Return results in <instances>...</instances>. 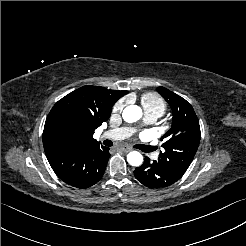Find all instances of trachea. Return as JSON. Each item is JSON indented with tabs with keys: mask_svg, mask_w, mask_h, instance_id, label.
<instances>
[{
	"mask_svg": "<svg viewBox=\"0 0 246 246\" xmlns=\"http://www.w3.org/2000/svg\"><path fill=\"white\" fill-rule=\"evenodd\" d=\"M104 145L106 146H112V142L110 140H105ZM146 151H152V148H147Z\"/></svg>",
	"mask_w": 246,
	"mask_h": 246,
	"instance_id": "obj_1",
	"label": "trachea"
}]
</instances>
